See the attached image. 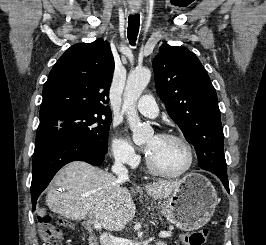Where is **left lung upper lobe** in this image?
Returning <instances> with one entry per match:
<instances>
[{"label": "left lung upper lobe", "instance_id": "1", "mask_svg": "<svg viewBox=\"0 0 266 245\" xmlns=\"http://www.w3.org/2000/svg\"><path fill=\"white\" fill-rule=\"evenodd\" d=\"M155 85L169 116L197 152L199 166L227 174L216 91L194 53L162 46L153 60Z\"/></svg>", "mask_w": 266, "mask_h": 245}]
</instances>
